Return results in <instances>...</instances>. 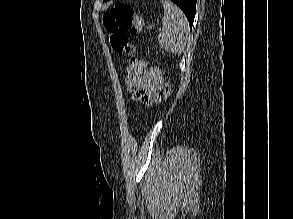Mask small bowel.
Segmentation results:
<instances>
[{
	"label": "small bowel",
	"instance_id": "obj_1",
	"mask_svg": "<svg viewBox=\"0 0 293 219\" xmlns=\"http://www.w3.org/2000/svg\"><path fill=\"white\" fill-rule=\"evenodd\" d=\"M126 84L133 93V99L145 106L160 101L163 75L159 68L150 67L140 74H128Z\"/></svg>",
	"mask_w": 293,
	"mask_h": 219
}]
</instances>
